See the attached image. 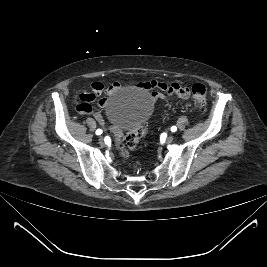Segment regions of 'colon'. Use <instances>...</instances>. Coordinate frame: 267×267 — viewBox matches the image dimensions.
<instances>
[{"label": "colon", "mask_w": 267, "mask_h": 267, "mask_svg": "<svg viewBox=\"0 0 267 267\" xmlns=\"http://www.w3.org/2000/svg\"><path fill=\"white\" fill-rule=\"evenodd\" d=\"M191 91L195 109L203 111L207 104V91L205 86L203 84L196 83L192 86ZM112 134L120 154L123 157H127L129 151L134 150L138 146L141 138L144 136L145 126H137L129 130L126 134L116 128H112Z\"/></svg>", "instance_id": "obj_1"}]
</instances>
